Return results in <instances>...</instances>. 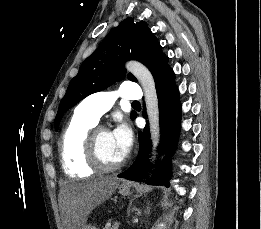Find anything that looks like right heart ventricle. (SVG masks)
<instances>
[{
    "label": "right heart ventricle",
    "mask_w": 261,
    "mask_h": 229,
    "mask_svg": "<svg viewBox=\"0 0 261 229\" xmlns=\"http://www.w3.org/2000/svg\"><path fill=\"white\" fill-rule=\"evenodd\" d=\"M96 124L77 105L65 127L58 150L63 169L71 175L90 176L95 168L88 159V144Z\"/></svg>",
    "instance_id": "e07e8e85"
}]
</instances>
